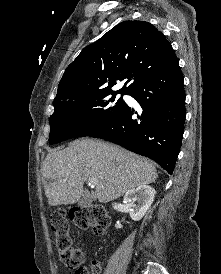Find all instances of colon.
<instances>
[{"label": "colon", "instance_id": "obj_1", "mask_svg": "<svg viewBox=\"0 0 221 274\" xmlns=\"http://www.w3.org/2000/svg\"><path fill=\"white\" fill-rule=\"evenodd\" d=\"M73 223L80 229L92 228L96 235H102L108 227L109 218L107 211L100 205L73 208L70 213ZM51 228L55 235L61 262L68 269L75 271V274H88L82 266L83 254L81 250L72 245L69 236V220L64 209H56L51 215ZM100 266L93 263V274H98Z\"/></svg>", "mask_w": 221, "mask_h": 274}]
</instances>
